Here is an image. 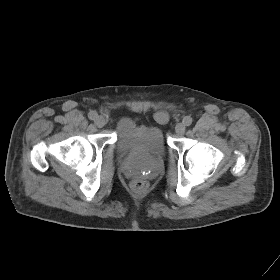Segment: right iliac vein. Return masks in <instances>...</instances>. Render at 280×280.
I'll return each instance as SVG.
<instances>
[{"mask_svg":"<svg viewBox=\"0 0 280 280\" xmlns=\"http://www.w3.org/2000/svg\"><path fill=\"white\" fill-rule=\"evenodd\" d=\"M106 119L103 117V116H98L96 119H95V124L97 127L99 128H102L105 126L106 124Z\"/></svg>","mask_w":280,"mask_h":280,"instance_id":"1","label":"right iliac vein"}]
</instances>
